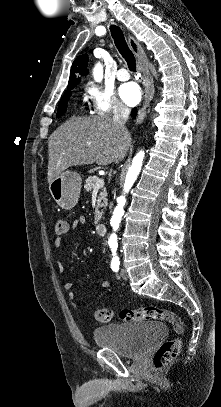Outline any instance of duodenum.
I'll list each match as a JSON object with an SVG mask.
<instances>
[{
    "label": "duodenum",
    "instance_id": "duodenum-1",
    "mask_svg": "<svg viewBox=\"0 0 221 407\" xmlns=\"http://www.w3.org/2000/svg\"><path fill=\"white\" fill-rule=\"evenodd\" d=\"M107 231V226L104 223H98L96 225V232L98 235L103 236Z\"/></svg>",
    "mask_w": 221,
    "mask_h": 407
}]
</instances>
